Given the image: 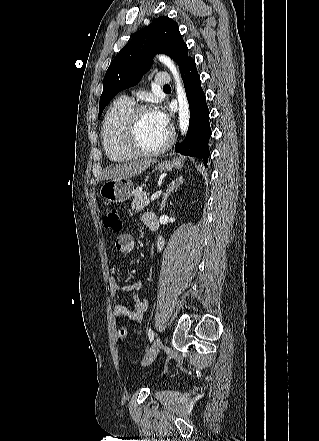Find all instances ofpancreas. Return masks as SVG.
<instances>
[{
	"mask_svg": "<svg viewBox=\"0 0 319 441\" xmlns=\"http://www.w3.org/2000/svg\"><path fill=\"white\" fill-rule=\"evenodd\" d=\"M144 186V185H143ZM134 199L132 201V209L138 213L143 210L150 202L149 193L142 191V186L134 190Z\"/></svg>",
	"mask_w": 319,
	"mask_h": 441,
	"instance_id": "1",
	"label": "pancreas"
}]
</instances>
